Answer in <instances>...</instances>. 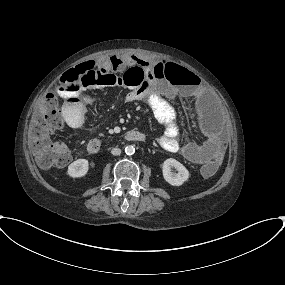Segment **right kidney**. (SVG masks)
<instances>
[{
    "mask_svg": "<svg viewBox=\"0 0 285 285\" xmlns=\"http://www.w3.org/2000/svg\"><path fill=\"white\" fill-rule=\"evenodd\" d=\"M89 170V162L86 159H78L71 163L68 167V175L73 178H80L87 174Z\"/></svg>",
    "mask_w": 285,
    "mask_h": 285,
    "instance_id": "obj_1",
    "label": "right kidney"
}]
</instances>
